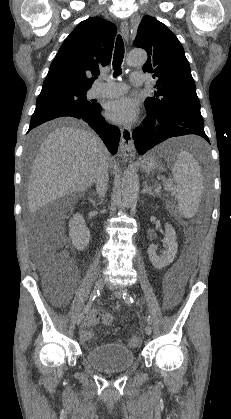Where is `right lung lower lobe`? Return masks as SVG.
<instances>
[{
	"mask_svg": "<svg viewBox=\"0 0 231 419\" xmlns=\"http://www.w3.org/2000/svg\"><path fill=\"white\" fill-rule=\"evenodd\" d=\"M74 117L86 121L101 137L112 154L118 149L120 130L114 125L108 124L101 116V106L95 104L90 109L74 108L64 105H41L36 106L32 115L28 132L39 124L58 117Z\"/></svg>",
	"mask_w": 231,
	"mask_h": 419,
	"instance_id": "obj_1",
	"label": "right lung lower lobe"
}]
</instances>
